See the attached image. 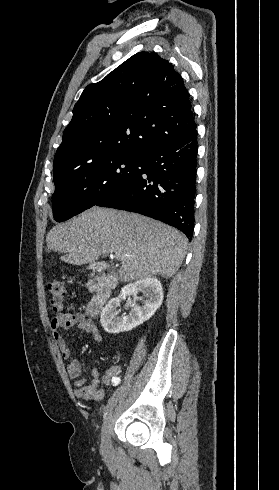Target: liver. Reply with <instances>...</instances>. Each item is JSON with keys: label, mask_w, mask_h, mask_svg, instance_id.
<instances>
[{"label": "liver", "mask_w": 279, "mask_h": 490, "mask_svg": "<svg viewBox=\"0 0 279 490\" xmlns=\"http://www.w3.org/2000/svg\"><path fill=\"white\" fill-rule=\"evenodd\" d=\"M46 242L47 252L65 254L60 260L72 266L94 264L100 256L114 254L121 262V282L158 274L172 278L188 248L182 232L158 220L98 206L54 226Z\"/></svg>", "instance_id": "6515ba94"}]
</instances>
